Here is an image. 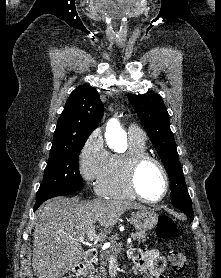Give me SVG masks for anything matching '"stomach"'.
<instances>
[{
  "label": "stomach",
  "instance_id": "obj_1",
  "mask_svg": "<svg viewBox=\"0 0 221 278\" xmlns=\"http://www.w3.org/2000/svg\"><path fill=\"white\" fill-rule=\"evenodd\" d=\"M131 223L139 232H146L158 223V215L150 209H140L131 214Z\"/></svg>",
  "mask_w": 221,
  "mask_h": 278
}]
</instances>
